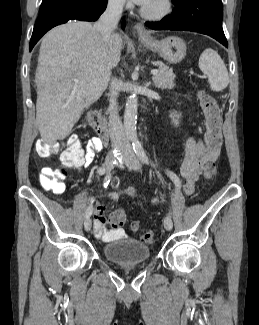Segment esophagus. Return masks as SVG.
Instances as JSON below:
<instances>
[{
  "label": "esophagus",
  "instance_id": "obj_1",
  "mask_svg": "<svg viewBox=\"0 0 259 325\" xmlns=\"http://www.w3.org/2000/svg\"><path fill=\"white\" fill-rule=\"evenodd\" d=\"M134 29L137 32V34L139 35V37L145 38V39L150 38V34L147 32V30L140 23H136L134 26Z\"/></svg>",
  "mask_w": 259,
  "mask_h": 325
}]
</instances>
